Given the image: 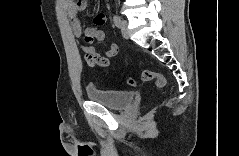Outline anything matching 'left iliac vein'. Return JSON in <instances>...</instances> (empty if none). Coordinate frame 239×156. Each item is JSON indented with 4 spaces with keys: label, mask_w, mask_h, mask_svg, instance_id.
Segmentation results:
<instances>
[{
    "label": "left iliac vein",
    "mask_w": 239,
    "mask_h": 156,
    "mask_svg": "<svg viewBox=\"0 0 239 156\" xmlns=\"http://www.w3.org/2000/svg\"><path fill=\"white\" fill-rule=\"evenodd\" d=\"M121 33L124 38L128 39L129 38V31H128V23L126 20L121 21Z\"/></svg>",
    "instance_id": "left-iliac-vein-1"
}]
</instances>
